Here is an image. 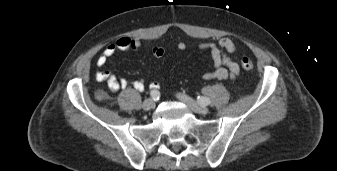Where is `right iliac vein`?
Segmentation results:
<instances>
[{
  "instance_id": "63e3f726",
  "label": "right iliac vein",
  "mask_w": 337,
  "mask_h": 171,
  "mask_svg": "<svg viewBox=\"0 0 337 171\" xmlns=\"http://www.w3.org/2000/svg\"><path fill=\"white\" fill-rule=\"evenodd\" d=\"M143 109L148 111V110H151L155 107V102L153 99L149 98V99H146L144 102H143V105H142Z\"/></svg>"
}]
</instances>
